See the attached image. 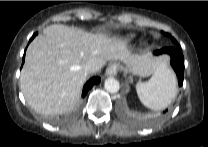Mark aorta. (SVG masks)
Segmentation results:
<instances>
[{
	"instance_id": "obj_1",
	"label": "aorta",
	"mask_w": 208,
	"mask_h": 147,
	"mask_svg": "<svg viewBox=\"0 0 208 147\" xmlns=\"http://www.w3.org/2000/svg\"><path fill=\"white\" fill-rule=\"evenodd\" d=\"M104 88L110 93H116L120 89L119 81L115 78H108L104 82Z\"/></svg>"
}]
</instances>
